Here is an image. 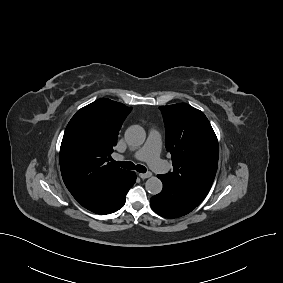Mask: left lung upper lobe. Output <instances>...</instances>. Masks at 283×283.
<instances>
[{
	"label": "left lung upper lobe",
	"mask_w": 283,
	"mask_h": 283,
	"mask_svg": "<svg viewBox=\"0 0 283 283\" xmlns=\"http://www.w3.org/2000/svg\"><path fill=\"white\" fill-rule=\"evenodd\" d=\"M166 129V149L173 171L161 175L200 204L208 194L218 167V140L204 113L188 104L159 107Z\"/></svg>",
	"instance_id": "left-lung-upper-lobe-1"
}]
</instances>
